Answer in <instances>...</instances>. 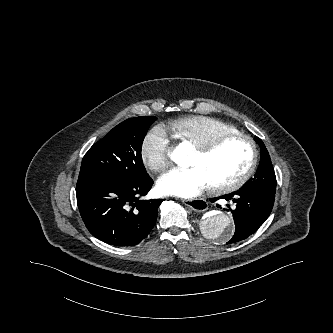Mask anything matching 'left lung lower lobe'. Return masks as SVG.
<instances>
[{
	"label": "left lung lower lobe",
	"instance_id": "left-lung-lower-lobe-1",
	"mask_svg": "<svg viewBox=\"0 0 333 333\" xmlns=\"http://www.w3.org/2000/svg\"><path fill=\"white\" fill-rule=\"evenodd\" d=\"M221 198L236 204L235 210L230 209L235 223V233L227 242L230 244L247 238L266 221L273 208L275 194L239 189L217 199Z\"/></svg>",
	"mask_w": 333,
	"mask_h": 333
}]
</instances>
